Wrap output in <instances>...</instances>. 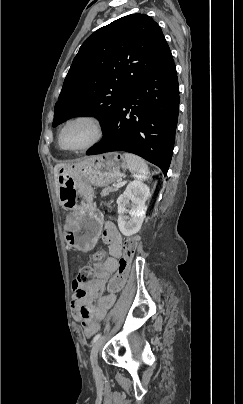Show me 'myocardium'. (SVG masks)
<instances>
[{"label":"myocardium","mask_w":243,"mask_h":404,"mask_svg":"<svg viewBox=\"0 0 243 404\" xmlns=\"http://www.w3.org/2000/svg\"><path fill=\"white\" fill-rule=\"evenodd\" d=\"M80 119L89 120L94 124L95 129H96V136H95L94 140L91 143H89L88 145H86V146H84L82 148H68V147H65L62 144V134H63L65 128L71 122L76 121V120H80ZM104 134H105V129H104L103 122L97 115H95L93 113H89V112H81V113H77V114H74V115L68 117L62 123V125L60 126V128L58 130L57 139H58L59 146L63 150H65L67 152H75V153L80 152L81 153V152H87V151L93 149L94 147H96L102 141V139L104 137Z\"/></svg>","instance_id":"f54148a6"}]
</instances>
